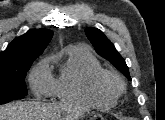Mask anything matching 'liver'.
Returning a JSON list of instances; mask_svg holds the SVG:
<instances>
[{"mask_svg": "<svg viewBox=\"0 0 165 120\" xmlns=\"http://www.w3.org/2000/svg\"><path fill=\"white\" fill-rule=\"evenodd\" d=\"M65 107L42 104L39 102H14L0 106V120H50L60 116ZM85 110H68L69 120L76 118Z\"/></svg>", "mask_w": 165, "mask_h": 120, "instance_id": "obj_1", "label": "liver"}]
</instances>
